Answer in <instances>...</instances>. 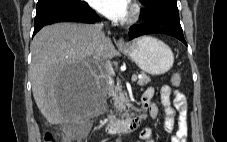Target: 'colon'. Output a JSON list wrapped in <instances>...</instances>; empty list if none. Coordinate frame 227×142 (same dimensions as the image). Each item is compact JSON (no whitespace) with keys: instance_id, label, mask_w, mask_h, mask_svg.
Here are the masks:
<instances>
[{"instance_id":"colon-1","label":"colon","mask_w":227,"mask_h":142,"mask_svg":"<svg viewBox=\"0 0 227 142\" xmlns=\"http://www.w3.org/2000/svg\"><path fill=\"white\" fill-rule=\"evenodd\" d=\"M181 81L179 75H174L172 78V85L177 86ZM44 142H55L54 136L51 133H47L44 137ZM62 142H70L69 140H63Z\"/></svg>"}]
</instances>
